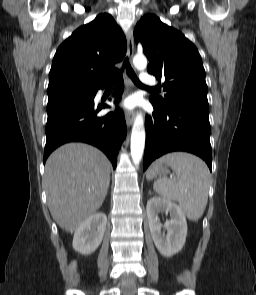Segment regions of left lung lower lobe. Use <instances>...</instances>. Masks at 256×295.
<instances>
[{"label":"left lung lower lobe","mask_w":256,"mask_h":295,"mask_svg":"<svg viewBox=\"0 0 256 295\" xmlns=\"http://www.w3.org/2000/svg\"><path fill=\"white\" fill-rule=\"evenodd\" d=\"M154 107V122L146 117V145L143 170L156 158L173 151H186L201 157L212 169L209 112L176 106Z\"/></svg>","instance_id":"obj_1"}]
</instances>
